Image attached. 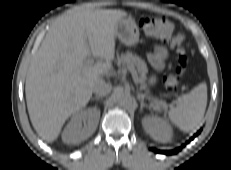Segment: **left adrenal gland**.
I'll list each match as a JSON object with an SVG mask.
<instances>
[{
  "label": "left adrenal gland",
  "instance_id": "obj_1",
  "mask_svg": "<svg viewBox=\"0 0 231 170\" xmlns=\"http://www.w3.org/2000/svg\"><path fill=\"white\" fill-rule=\"evenodd\" d=\"M140 103H141V104H140V111H141V112L143 111V108H144V107H146V108L149 107V108H150V106H148L147 104L144 103V100H143V99L140 100Z\"/></svg>",
  "mask_w": 231,
  "mask_h": 170
}]
</instances>
